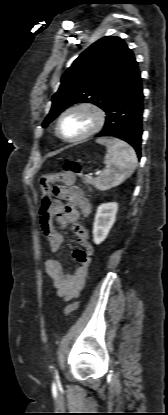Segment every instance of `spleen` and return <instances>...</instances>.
Returning a JSON list of instances; mask_svg holds the SVG:
<instances>
[{"instance_id": "3e777b00", "label": "spleen", "mask_w": 168, "mask_h": 415, "mask_svg": "<svg viewBox=\"0 0 168 415\" xmlns=\"http://www.w3.org/2000/svg\"><path fill=\"white\" fill-rule=\"evenodd\" d=\"M97 143L105 145V169L97 178L96 186L105 191L118 186L130 177L137 165L135 150L126 142L116 138H99Z\"/></svg>"}]
</instances>
